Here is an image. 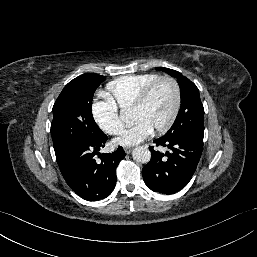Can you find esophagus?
I'll use <instances>...</instances> for the list:
<instances>
[{"mask_svg": "<svg viewBox=\"0 0 257 257\" xmlns=\"http://www.w3.org/2000/svg\"><path fill=\"white\" fill-rule=\"evenodd\" d=\"M124 151H125L127 154H130L131 151H132V148H131V147H124Z\"/></svg>", "mask_w": 257, "mask_h": 257, "instance_id": "34e87169", "label": "esophagus"}]
</instances>
